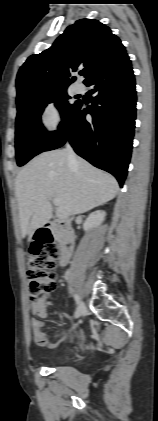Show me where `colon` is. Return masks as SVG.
Wrapping results in <instances>:
<instances>
[{"label": "colon", "instance_id": "obj_1", "mask_svg": "<svg viewBox=\"0 0 158 421\" xmlns=\"http://www.w3.org/2000/svg\"><path fill=\"white\" fill-rule=\"evenodd\" d=\"M59 255V248L51 235L39 231L27 256L29 298L32 302L47 301L55 289L57 277L53 270Z\"/></svg>", "mask_w": 158, "mask_h": 421}]
</instances>
